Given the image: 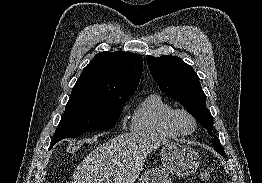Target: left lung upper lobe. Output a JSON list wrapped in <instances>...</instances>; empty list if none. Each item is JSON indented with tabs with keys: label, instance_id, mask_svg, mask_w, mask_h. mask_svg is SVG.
I'll return each instance as SVG.
<instances>
[{
	"label": "left lung upper lobe",
	"instance_id": "1",
	"mask_svg": "<svg viewBox=\"0 0 262 183\" xmlns=\"http://www.w3.org/2000/svg\"><path fill=\"white\" fill-rule=\"evenodd\" d=\"M149 70L160 89L169 97L179 101L200 124L212 135L213 118L206 107V95L200 85V78L193 68L176 56L155 58L146 56ZM214 149L226 156L219 139L213 138Z\"/></svg>",
	"mask_w": 262,
	"mask_h": 183
}]
</instances>
